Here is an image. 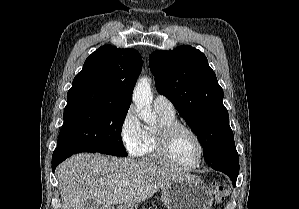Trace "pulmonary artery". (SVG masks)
I'll use <instances>...</instances> for the list:
<instances>
[{"mask_svg": "<svg viewBox=\"0 0 299 209\" xmlns=\"http://www.w3.org/2000/svg\"><path fill=\"white\" fill-rule=\"evenodd\" d=\"M154 108L164 114L167 115H174L175 114V108L172 104V102L163 95H157L154 98L153 101Z\"/></svg>", "mask_w": 299, "mask_h": 209, "instance_id": "e3ab8cb5", "label": "pulmonary artery"}]
</instances>
